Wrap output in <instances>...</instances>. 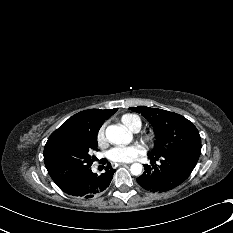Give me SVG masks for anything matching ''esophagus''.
I'll return each mask as SVG.
<instances>
[{
	"instance_id": "esophagus-1",
	"label": "esophagus",
	"mask_w": 233,
	"mask_h": 233,
	"mask_svg": "<svg viewBox=\"0 0 233 233\" xmlns=\"http://www.w3.org/2000/svg\"><path fill=\"white\" fill-rule=\"evenodd\" d=\"M120 166H125L127 163H119Z\"/></svg>"
}]
</instances>
